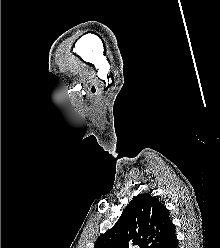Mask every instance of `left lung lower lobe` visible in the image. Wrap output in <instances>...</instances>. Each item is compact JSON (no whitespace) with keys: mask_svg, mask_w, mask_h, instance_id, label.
Returning a JSON list of instances; mask_svg holds the SVG:
<instances>
[{"mask_svg":"<svg viewBox=\"0 0 220 248\" xmlns=\"http://www.w3.org/2000/svg\"><path fill=\"white\" fill-rule=\"evenodd\" d=\"M159 248H178V241L176 239V231L174 226L170 229L168 235Z\"/></svg>","mask_w":220,"mask_h":248,"instance_id":"1","label":"left lung lower lobe"}]
</instances>
